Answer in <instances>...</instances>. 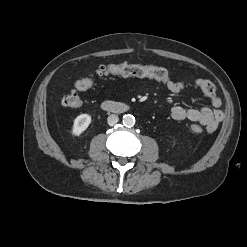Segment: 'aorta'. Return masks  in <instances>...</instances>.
I'll use <instances>...</instances> for the list:
<instances>
[{
    "instance_id": "aorta-1",
    "label": "aorta",
    "mask_w": 247,
    "mask_h": 247,
    "mask_svg": "<svg viewBox=\"0 0 247 247\" xmlns=\"http://www.w3.org/2000/svg\"><path fill=\"white\" fill-rule=\"evenodd\" d=\"M123 124L126 127H132L135 124V117L131 114H126L123 116Z\"/></svg>"
}]
</instances>
